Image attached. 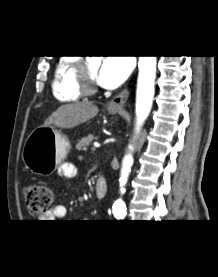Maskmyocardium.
Here are the masks:
<instances>
[{
  "label": "myocardium",
  "mask_w": 218,
  "mask_h": 277,
  "mask_svg": "<svg viewBox=\"0 0 218 277\" xmlns=\"http://www.w3.org/2000/svg\"><path fill=\"white\" fill-rule=\"evenodd\" d=\"M77 84L81 93L93 94L97 91L95 80L90 76L86 64L80 60L77 67Z\"/></svg>",
  "instance_id": "1"
}]
</instances>
